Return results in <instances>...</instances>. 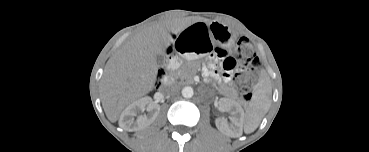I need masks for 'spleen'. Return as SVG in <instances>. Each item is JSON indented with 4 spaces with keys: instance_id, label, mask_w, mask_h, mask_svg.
<instances>
[{
    "instance_id": "3e777b00",
    "label": "spleen",
    "mask_w": 369,
    "mask_h": 152,
    "mask_svg": "<svg viewBox=\"0 0 369 152\" xmlns=\"http://www.w3.org/2000/svg\"><path fill=\"white\" fill-rule=\"evenodd\" d=\"M271 86L268 78L261 79L249 104L244 121V129L255 130L271 104Z\"/></svg>"
}]
</instances>
